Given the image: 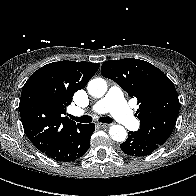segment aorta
I'll return each instance as SVG.
<instances>
[{
    "instance_id": "1",
    "label": "aorta",
    "mask_w": 196,
    "mask_h": 196,
    "mask_svg": "<svg viewBox=\"0 0 196 196\" xmlns=\"http://www.w3.org/2000/svg\"><path fill=\"white\" fill-rule=\"evenodd\" d=\"M89 94L95 98L104 96L107 91V83L102 78H95L89 81L87 85ZM110 137L118 142H124L127 137L126 129L121 125H112L109 129Z\"/></svg>"
}]
</instances>
